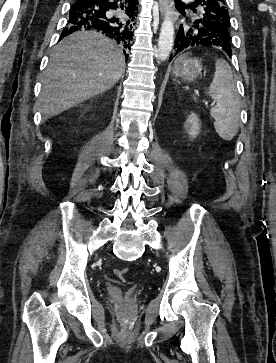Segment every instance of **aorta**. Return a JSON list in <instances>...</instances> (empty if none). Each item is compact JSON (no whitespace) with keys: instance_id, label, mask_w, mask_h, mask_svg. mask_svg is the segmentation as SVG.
<instances>
[{"instance_id":"762f6f07","label":"aorta","mask_w":276,"mask_h":363,"mask_svg":"<svg viewBox=\"0 0 276 363\" xmlns=\"http://www.w3.org/2000/svg\"><path fill=\"white\" fill-rule=\"evenodd\" d=\"M174 44V25L170 18V11H167L166 17L162 23L158 40V54L161 61H165L173 48Z\"/></svg>"}]
</instances>
